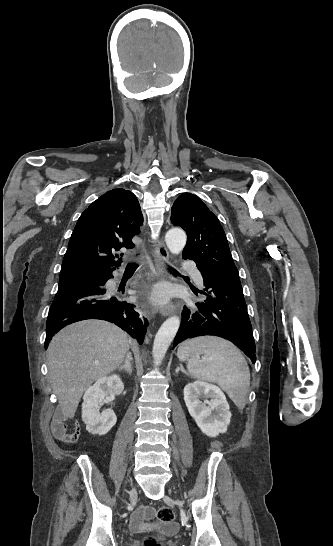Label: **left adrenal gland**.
Returning <instances> with one entry per match:
<instances>
[{
  "label": "left adrenal gland",
  "instance_id": "a2214340",
  "mask_svg": "<svg viewBox=\"0 0 333 546\" xmlns=\"http://www.w3.org/2000/svg\"><path fill=\"white\" fill-rule=\"evenodd\" d=\"M179 371L186 373L182 365L176 369V373L178 374Z\"/></svg>",
  "mask_w": 333,
  "mask_h": 546
}]
</instances>
